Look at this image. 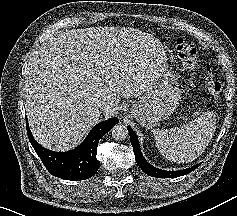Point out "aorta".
<instances>
[{"mask_svg":"<svg viewBox=\"0 0 237 216\" xmlns=\"http://www.w3.org/2000/svg\"><path fill=\"white\" fill-rule=\"evenodd\" d=\"M128 129L126 125L118 123L111 129V135L115 140L122 141L128 137Z\"/></svg>","mask_w":237,"mask_h":216,"instance_id":"762f6f07","label":"aorta"}]
</instances>
